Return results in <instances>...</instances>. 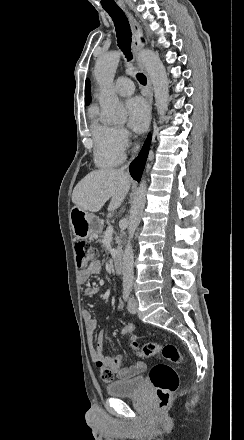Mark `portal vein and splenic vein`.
Segmentation results:
<instances>
[{
    "instance_id": "obj_1",
    "label": "portal vein and splenic vein",
    "mask_w": 244,
    "mask_h": 440,
    "mask_svg": "<svg viewBox=\"0 0 244 440\" xmlns=\"http://www.w3.org/2000/svg\"><path fill=\"white\" fill-rule=\"evenodd\" d=\"M113 230H114L113 226H110V224H109V226L107 228V232H113Z\"/></svg>"
}]
</instances>
